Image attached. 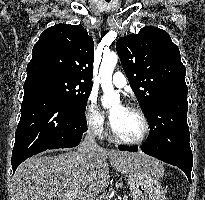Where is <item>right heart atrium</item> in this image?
I'll return each mask as SVG.
<instances>
[{"instance_id":"d8ad5b80","label":"right heart atrium","mask_w":205,"mask_h":200,"mask_svg":"<svg viewBox=\"0 0 205 200\" xmlns=\"http://www.w3.org/2000/svg\"><path fill=\"white\" fill-rule=\"evenodd\" d=\"M86 125L90 132L94 135L100 136L105 131V117L97 105L95 95H91L85 110Z\"/></svg>"}]
</instances>
